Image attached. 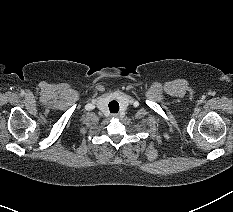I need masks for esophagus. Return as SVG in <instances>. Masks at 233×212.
<instances>
[{
	"mask_svg": "<svg viewBox=\"0 0 233 212\" xmlns=\"http://www.w3.org/2000/svg\"><path fill=\"white\" fill-rule=\"evenodd\" d=\"M119 115L118 114H112V118H118Z\"/></svg>",
	"mask_w": 233,
	"mask_h": 212,
	"instance_id": "1",
	"label": "esophagus"
}]
</instances>
